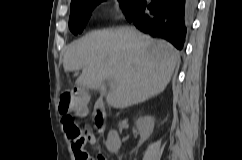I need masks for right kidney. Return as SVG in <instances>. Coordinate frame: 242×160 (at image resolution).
<instances>
[{"instance_id":"ca27d5eb","label":"right kidney","mask_w":242,"mask_h":160,"mask_svg":"<svg viewBox=\"0 0 242 160\" xmlns=\"http://www.w3.org/2000/svg\"><path fill=\"white\" fill-rule=\"evenodd\" d=\"M155 120L152 116H141L136 120V127L140 133V140L138 145L141 146L152 134L154 129ZM107 150L111 153H117L121 147V141L117 131L111 130L108 133L105 142Z\"/></svg>"}]
</instances>
